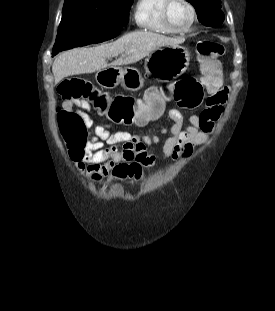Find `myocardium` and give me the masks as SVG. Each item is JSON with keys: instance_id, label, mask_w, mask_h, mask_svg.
Listing matches in <instances>:
<instances>
[{"instance_id": "obj_1", "label": "myocardium", "mask_w": 275, "mask_h": 311, "mask_svg": "<svg viewBox=\"0 0 275 311\" xmlns=\"http://www.w3.org/2000/svg\"><path fill=\"white\" fill-rule=\"evenodd\" d=\"M175 0H165V4L163 6L162 9V18L163 21L165 23V25L174 33H186L189 30L192 29V27L194 26L196 19H197V10L195 8V6L193 5V3L190 0H183V2L186 3V5L189 7L190 11H191V20L189 22V24L184 27V28H177L173 25V23L171 22L170 18H169V9L170 6L172 5V3Z\"/></svg>"}]
</instances>
